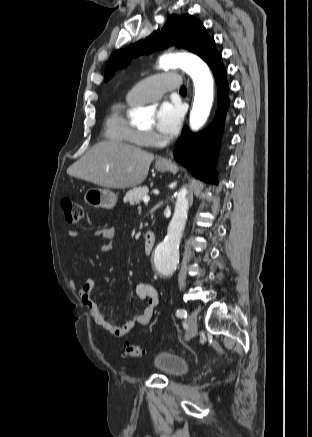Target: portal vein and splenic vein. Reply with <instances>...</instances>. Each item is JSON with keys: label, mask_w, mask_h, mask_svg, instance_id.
I'll use <instances>...</instances> for the list:
<instances>
[{"label": "portal vein and splenic vein", "mask_w": 312, "mask_h": 437, "mask_svg": "<svg viewBox=\"0 0 312 437\" xmlns=\"http://www.w3.org/2000/svg\"><path fill=\"white\" fill-rule=\"evenodd\" d=\"M149 200H150V197L149 196H144L143 197V201H144V203H147V202H149Z\"/></svg>", "instance_id": "obj_1"}]
</instances>
